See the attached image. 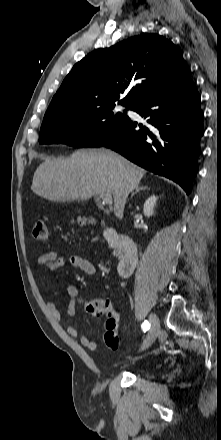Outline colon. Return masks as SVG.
Returning <instances> with one entry per match:
<instances>
[{
    "instance_id": "1",
    "label": "colon",
    "mask_w": 221,
    "mask_h": 440,
    "mask_svg": "<svg viewBox=\"0 0 221 440\" xmlns=\"http://www.w3.org/2000/svg\"><path fill=\"white\" fill-rule=\"evenodd\" d=\"M80 224H86L90 222L85 218H81L78 221ZM33 238L40 243H46L49 239L48 224L45 220H38L33 228ZM81 304L84 307L86 313L90 315H105V333L104 341L108 348L117 349L119 346V331H118V314L114 310L112 304L106 300H81Z\"/></svg>"
}]
</instances>
